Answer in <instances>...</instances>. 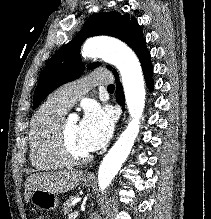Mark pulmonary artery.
<instances>
[{
    "instance_id": "pulmonary-artery-1",
    "label": "pulmonary artery",
    "mask_w": 211,
    "mask_h": 219,
    "mask_svg": "<svg viewBox=\"0 0 211 219\" xmlns=\"http://www.w3.org/2000/svg\"><path fill=\"white\" fill-rule=\"evenodd\" d=\"M110 81L111 74L109 72L95 71L60 87L51 95L50 99L63 108L69 109L86 93L87 89L94 85L110 83Z\"/></svg>"
}]
</instances>
